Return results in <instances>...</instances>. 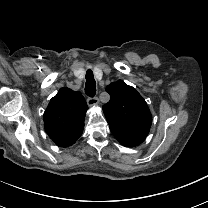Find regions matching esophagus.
I'll use <instances>...</instances> for the list:
<instances>
[{
  "instance_id": "obj_1",
  "label": "esophagus",
  "mask_w": 208,
  "mask_h": 208,
  "mask_svg": "<svg viewBox=\"0 0 208 208\" xmlns=\"http://www.w3.org/2000/svg\"><path fill=\"white\" fill-rule=\"evenodd\" d=\"M99 103V99L97 98V97H89L88 99H87V104H88V106H95V105H97Z\"/></svg>"
}]
</instances>
